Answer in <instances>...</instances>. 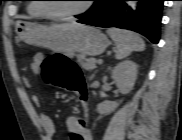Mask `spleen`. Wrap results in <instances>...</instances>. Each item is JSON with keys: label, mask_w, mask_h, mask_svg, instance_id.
<instances>
[{"label": "spleen", "mask_w": 182, "mask_h": 140, "mask_svg": "<svg viewBox=\"0 0 182 140\" xmlns=\"http://www.w3.org/2000/svg\"><path fill=\"white\" fill-rule=\"evenodd\" d=\"M107 33L116 44L115 57L118 60L126 58L133 51H143L145 49L143 39L132 31L111 28L108 29Z\"/></svg>", "instance_id": "3e777b00"}]
</instances>
